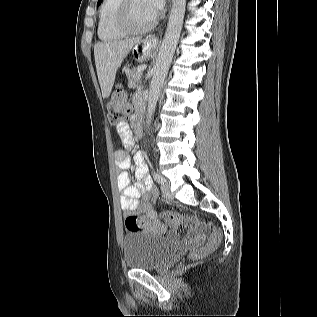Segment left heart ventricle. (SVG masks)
Returning <instances> with one entry per match:
<instances>
[{
    "instance_id": "left-heart-ventricle-1",
    "label": "left heart ventricle",
    "mask_w": 317,
    "mask_h": 317,
    "mask_svg": "<svg viewBox=\"0 0 317 317\" xmlns=\"http://www.w3.org/2000/svg\"><path fill=\"white\" fill-rule=\"evenodd\" d=\"M155 16L150 10L147 0H132L130 9L131 23L136 27L149 24Z\"/></svg>"
}]
</instances>
